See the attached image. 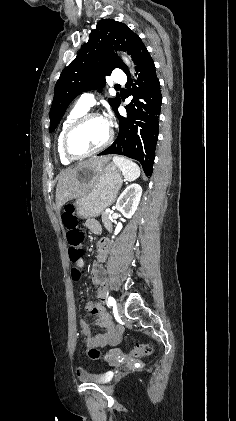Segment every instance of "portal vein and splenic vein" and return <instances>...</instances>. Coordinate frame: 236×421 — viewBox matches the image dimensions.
I'll return each mask as SVG.
<instances>
[{
  "mask_svg": "<svg viewBox=\"0 0 236 421\" xmlns=\"http://www.w3.org/2000/svg\"><path fill=\"white\" fill-rule=\"evenodd\" d=\"M106 213H110V208H106Z\"/></svg>",
  "mask_w": 236,
  "mask_h": 421,
  "instance_id": "18ae733b",
  "label": "portal vein and splenic vein"
}]
</instances>
